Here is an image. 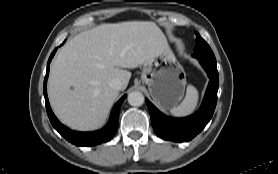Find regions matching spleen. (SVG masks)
I'll return each mask as SVG.
<instances>
[{
	"label": "spleen",
	"mask_w": 278,
	"mask_h": 174,
	"mask_svg": "<svg viewBox=\"0 0 278 174\" xmlns=\"http://www.w3.org/2000/svg\"><path fill=\"white\" fill-rule=\"evenodd\" d=\"M198 98V90L194 86L188 85L185 98L178 106H174L170 110L171 114L177 117H184L192 114L197 107Z\"/></svg>",
	"instance_id": "3e777b00"
}]
</instances>
